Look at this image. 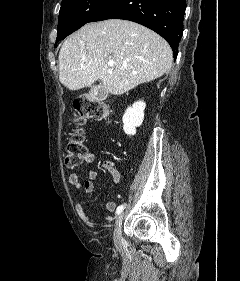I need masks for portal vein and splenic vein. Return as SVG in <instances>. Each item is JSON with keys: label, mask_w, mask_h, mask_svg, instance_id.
Masks as SVG:
<instances>
[{"label": "portal vein and splenic vein", "mask_w": 240, "mask_h": 281, "mask_svg": "<svg viewBox=\"0 0 240 281\" xmlns=\"http://www.w3.org/2000/svg\"><path fill=\"white\" fill-rule=\"evenodd\" d=\"M108 65H109V67H112L113 66V62H109Z\"/></svg>", "instance_id": "1"}]
</instances>
